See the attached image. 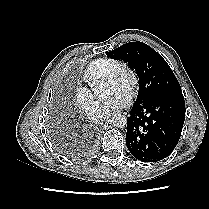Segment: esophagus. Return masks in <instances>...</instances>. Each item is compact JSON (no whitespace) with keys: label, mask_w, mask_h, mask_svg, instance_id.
<instances>
[{"label":"esophagus","mask_w":209,"mask_h":209,"mask_svg":"<svg viewBox=\"0 0 209 209\" xmlns=\"http://www.w3.org/2000/svg\"><path fill=\"white\" fill-rule=\"evenodd\" d=\"M108 121H109V118H104V119L101 121V125H105Z\"/></svg>","instance_id":"obj_1"}]
</instances>
